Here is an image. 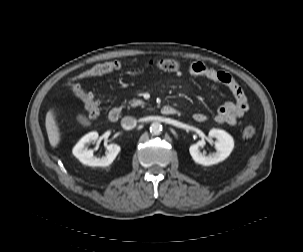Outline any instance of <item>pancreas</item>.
<instances>
[{
  "label": "pancreas",
  "instance_id": "cf45deb5",
  "mask_svg": "<svg viewBox=\"0 0 303 252\" xmlns=\"http://www.w3.org/2000/svg\"><path fill=\"white\" fill-rule=\"evenodd\" d=\"M128 104H129L128 108H130V107H137L140 105H144V102L142 100L132 99L128 102Z\"/></svg>",
  "mask_w": 303,
  "mask_h": 252
}]
</instances>
